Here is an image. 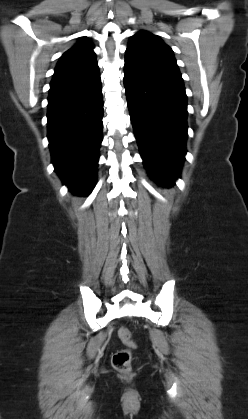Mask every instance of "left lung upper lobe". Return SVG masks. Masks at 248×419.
<instances>
[{"mask_svg":"<svg viewBox=\"0 0 248 419\" xmlns=\"http://www.w3.org/2000/svg\"><path fill=\"white\" fill-rule=\"evenodd\" d=\"M126 51L146 59L167 64L178 69L172 49L158 36L147 31H140L133 35Z\"/></svg>","mask_w":248,"mask_h":419,"instance_id":"1","label":"left lung upper lobe"}]
</instances>
